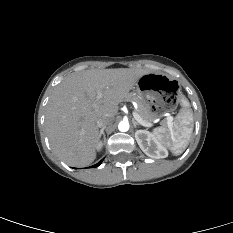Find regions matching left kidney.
Returning a JSON list of instances; mask_svg holds the SVG:
<instances>
[{
	"mask_svg": "<svg viewBox=\"0 0 233 233\" xmlns=\"http://www.w3.org/2000/svg\"><path fill=\"white\" fill-rule=\"evenodd\" d=\"M135 139L141 150L147 156L154 159L166 158L168 156L167 149L149 131H136Z\"/></svg>",
	"mask_w": 233,
	"mask_h": 233,
	"instance_id": "1",
	"label": "left kidney"
}]
</instances>
